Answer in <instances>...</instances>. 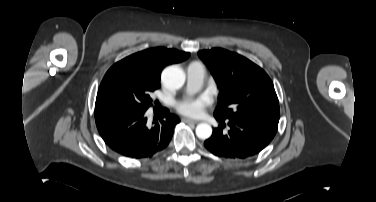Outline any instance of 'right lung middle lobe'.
Returning a JSON list of instances; mask_svg holds the SVG:
<instances>
[{"instance_id":"right-lung-middle-lobe-1","label":"right lung middle lobe","mask_w":376,"mask_h":202,"mask_svg":"<svg viewBox=\"0 0 376 202\" xmlns=\"http://www.w3.org/2000/svg\"><path fill=\"white\" fill-rule=\"evenodd\" d=\"M159 87V79H153L131 65L115 64L99 87L95 115L109 111H146L152 103L150 95Z\"/></svg>"}]
</instances>
